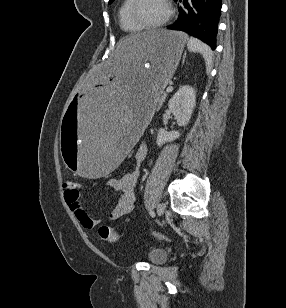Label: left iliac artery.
Here are the masks:
<instances>
[{
	"mask_svg": "<svg viewBox=\"0 0 286 308\" xmlns=\"http://www.w3.org/2000/svg\"><path fill=\"white\" fill-rule=\"evenodd\" d=\"M150 215H151L152 217H154V216H155V213H154L153 211H150Z\"/></svg>",
	"mask_w": 286,
	"mask_h": 308,
	"instance_id": "1",
	"label": "left iliac artery"
}]
</instances>
